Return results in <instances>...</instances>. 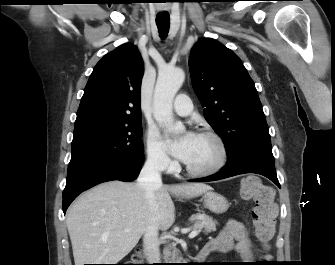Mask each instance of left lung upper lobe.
<instances>
[{"mask_svg":"<svg viewBox=\"0 0 335 265\" xmlns=\"http://www.w3.org/2000/svg\"><path fill=\"white\" fill-rule=\"evenodd\" d=\"M189 69L205 119L224 141L227 163L253 159L275 164L257 90L235 53L205 38L193 47Z\"/></svg>","mask_w":335,"mask_h":265,"instance_id":"5c2ea615","label":"left lung upper lobe"}]
</instances>
